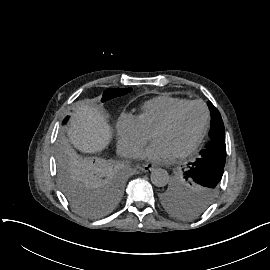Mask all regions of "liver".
Wrapping results in <instances>:
<instances>
[{"mask_svg":"<svg viewBox=\"0 0 270 270\" xmlns=\"http://www.w3.org/2000/svg\"><path fill=\"white\" fill-rule=\"evenodd\" d=\"M67 135L76 149L92 154L104 150L112 139L111 127L105 117L85 103L72 113Z\"/></svg>","mask_w":270,"mask_h":270,"instance_id":"liver-1","label":"liver"}]
</instances>
